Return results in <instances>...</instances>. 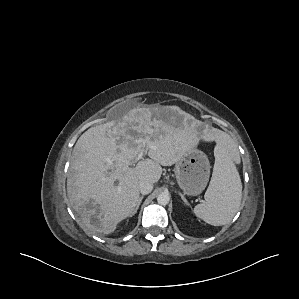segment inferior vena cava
Returning <instances> with one entry per match:
<instances>
[{"label":"inferior vena cava","mask_w":299,"mask_h":299,"mask_svg":"<svg viewBox=\"0 0 299 299\" xmlns=\"http://www.w3.org/2000/svg\"><path fill=\"white\" fill-rule=\"evenodd\" d=\"M139 190L141 194L147 195L153 190V185L148 181H141L139 183Z\"/></svg>","instance_id":"obj_1"}]
</instances>
